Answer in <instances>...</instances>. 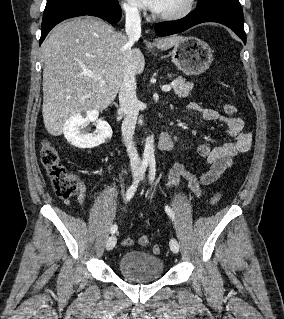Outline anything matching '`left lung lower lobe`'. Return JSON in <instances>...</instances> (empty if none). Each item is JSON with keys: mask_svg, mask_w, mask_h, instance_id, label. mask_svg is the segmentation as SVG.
<instances>
[{"mask_svg": "<svg viewBox=\"0 0 284 319\" xmlns=\"http://www.w3.org/2000/svg\"><path fill=\"white\" fill-rule=\"evenodd\" d=\"M204 22H217L229 27L246 44L244 16L239 0H217L198 6L183 19L156 24L155 31L159 36H167Z\"/></svg>", "mask_w": 284, "mask_h": 319, "instance_id": "0a47b994", "label": "left lung lower lobe"}]
</instances>
